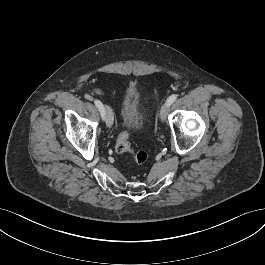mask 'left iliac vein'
<instances>
[{
  "mask_svg": "<svg viewBox=\"0 0 265 265\" xmlns=\"http://www.w3.org/2000/svg\"><path fill=\"white\" fill-rule=\"evenodd\" d=\"M169 104L167 102H165L160 110V118L162 121H165L167 118V114H168V109H169Z\"/></svg>",
  "mask_w": 265,
  "mask_h": 265,
  "instance_id": "obj_1",
  "label": "left iliac vein"
}]
</instances>
